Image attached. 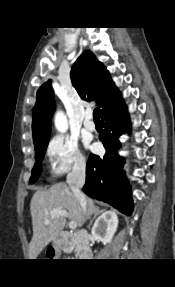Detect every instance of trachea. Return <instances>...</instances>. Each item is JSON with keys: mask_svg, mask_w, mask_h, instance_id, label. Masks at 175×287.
<instances>
[{"mask_svg": "<svg viewBox=\"0 0 175 287\" xmlns=\"http://www.w3.org/2000/svg\"><path fill=\"white\" fill-rule=\"evenodd\" d=\"M93 117H94V120L99 121V111L97 108H95L93 111Z\"/></svg>", "mask_w": 175, "mask_h": 287, "instance_id": "obj_1", "label": "trachea"}]
</instances>
